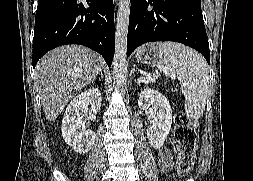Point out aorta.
Wrapping results in <instances>:
<instances>
[{"instance_id":"aorta-1","label":"aorta","mask_w":253,"mask_h":181,"mask_svg":"<svg viewBox=\"0 0 253 181\" xmlns=\"http://www.w3.org/2000/svg\"><path fill=\"white\" fill-rule=\"evenodd\" d=\"M130 8V0H118L115 33V52L113 60V79L117 88L122 85L127 69V35Z\"/></svg>"}]
</instances>
